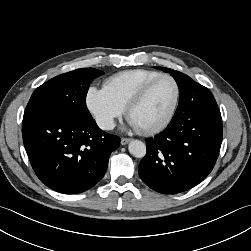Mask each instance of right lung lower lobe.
Wrapping results in <instances>:
<instances>
[{
	"label": "right lung lower lobe",
	"mask_w": 251,
	"mask_h": 251,
	"mask_svg": "<svg viewBox=\"0 0 251 251\" xmlns=\"http://www.w3.org/2000/svg\"><path fill=\"white\" fill-rule=\"evenodd\" d=\"M23 142L33 170L49 188L77 194L93 187L105 174L118 136L102 131L90 117L76 119L49 107L27 105Z\"/></svg>",
	"instance_id": "98d812e1"
}]
</instances>
